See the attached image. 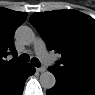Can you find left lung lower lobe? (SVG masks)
Here are the masks:
<instances>
[{"label": "left lung lower lobe", "instance_id": "left-lung-lower-lobe-1", "mask_svg": "<svg viewBox=\"0 0 95 95\" xmlns=\"http://www.w3.org/2000/svg\"><path fill=\"white\" fill-rule=\"evenodd\" d=\"M56 84L47 95H95V81L64 74H54Z\"/></svg>", "mask_w": 95, "mask_h": 95}]
</instances>
